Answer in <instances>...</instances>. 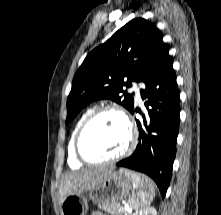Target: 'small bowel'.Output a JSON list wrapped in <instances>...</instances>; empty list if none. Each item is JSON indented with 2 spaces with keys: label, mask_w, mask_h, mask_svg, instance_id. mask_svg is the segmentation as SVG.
I'll use <instances>...</instances> for the list:
<instances>
[{
  "label": "small bowel",
  "mask_w": 221,
  "mask_h": 215,
  "mask_svg": "<svg viewBox=\"0 0 221 215\" xmlns=\"http://www.w3.org/2000/svg\"><path fill=\"white\" fill-rule=\"evenodd\" d=\"M91 215H104V214H102V213H100V212H94V213L91 214Z\"/></svg>",
  "instance_id": "obj_1"
}]
</instances>
